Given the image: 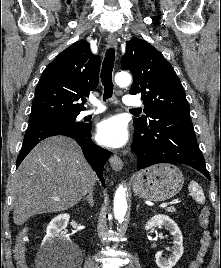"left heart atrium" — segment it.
Segmentation results:
<instances>
[{
	"mask_svg": "<svg viewBox=\"0 0 221 268\" xmlns=\"http://www.w3.org/2000/svg\"><path fill=\"white\" fill-rule=\"evenodd\" d=\"M96 140L99 144L106 147H122L128 140L126 124L117 116L102 120L97 125Z\"/></svg>",
	"mask_w": 221,
	"mask_h": 268,
	"instance_id": "1",
	"label": "left heart atrium"
}]
</instances>
